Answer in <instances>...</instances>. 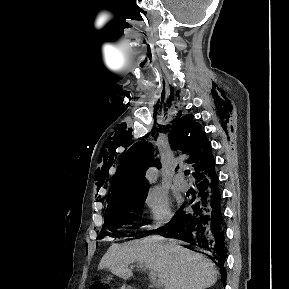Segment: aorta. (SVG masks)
Listing matches in <instances>:
<instances>
[{
	"label": "aorta",
	"instance_id": "aorta-1",
	"mask_svg": "<svg viewBox=\"0 0 289 289\" xmlns=\"http://www.w3.org/2000/svg\"><path fill=\"white\" fill-rule=\"evenodd\" d=\"M146 178L150 183H154L157 180V172L155 169L151 168L150 170H148L147 174H146Z\"/></svg>",
	"mask_w": 289,
	"mask_h": 289
}]
</instances>
